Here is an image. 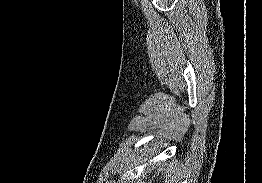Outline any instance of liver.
I'll use <instances>...</instances> for the list:
<instances>
[{
  "label": "liver",
  "instance_id": "liver-1",
  "mask_svg": "<svg viewBox=\"0 0 262 183\" xmlns=\"http://www.w3.org/2000/svg\"><path fill=\"white\" fill-rule=\"evenodd\" d=\"M169 178L168 182L165 183H178V171L177 169L173 168L172 171L170 172V174H168Z\"/></svg>",
  "mask_w": 262,
  "mask_h": 183
}]
</instances>
